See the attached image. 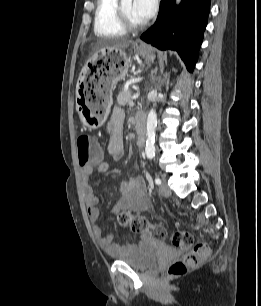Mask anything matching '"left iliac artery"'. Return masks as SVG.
I'll return each mask as SVG.
<instances>
[{
	"label": "left iliac artery",
	"instance_id": "obj_1",
	"mask_svg": "<svg viewBox=\"0 0 261 306\" xmlns=\"http://www.w3.org/2000/svg\"><path fill=\"white\" fill-rule=\"evenodd\" d=\"M155 183H156L157 185H160V184H161V179L158 178V177H156V178H155Z\"/></svg>",
	"mask_w": 261,
	"mask_h": 306
}]
</instances>
